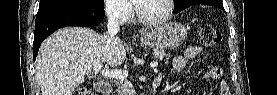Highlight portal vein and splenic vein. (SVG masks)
Listing matches in <instances>:
<instances>
[{
  "label": "portal vein and splenic vein",
  "mask_w": 277,
  "mask_h": 95,
  "mask_svg": "<svg viewBox=\"0 0 277 95\" xmlns=\"http://www.w3.org/2000/svg\"><path fill=\"white\" fill-rule=\"evenodd\" d=\"M152 68H156L158 66V62L152 61L150 63ZM94 72L99 73L102 76H105L107 78H113L117 80H124L126 77H128V71H123V70H108V69H103V64H96L94 66Z\"/></svg>",
  "instance_id": "18ae733b"
}]
</instances>
